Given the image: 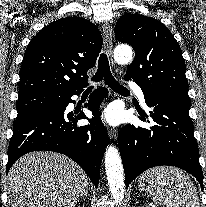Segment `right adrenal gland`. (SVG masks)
Listing matches in <instances>:
<instances>
[{"label": "right adrenal gland", "mask_w": 206, "mask_h": 207, "mask_svg": "<svg viewBox=\"0 0 206 207\" xmlns=\"http://www.w3.org/2000/svg\"><path fill=\"white\" fill-rule=\"evenodd\" d=\"M84 196H89L88 189L85 191Z\"/></svg>", "instance_id": "1"}]
</instances>
